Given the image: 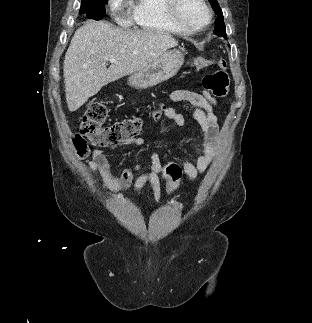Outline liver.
<instances>
[{"label":"liver","mask_w":312,"mask_h":323,"mask_svg":"<svg viewBox=\"0 0 312 323\" xmlns=\"http://www.w3.org/2000/svg\"><path fill=\"white\" fill-rule=\"evenodd\" d=\"M178 42L171 34L123 30L109 22L88 20L76 30L63 64L69 112H76L103 86L142 70ZM109 58L118 62L106 68Z\"/></svg>","instance_id":"liver-1"}]
</instances>
